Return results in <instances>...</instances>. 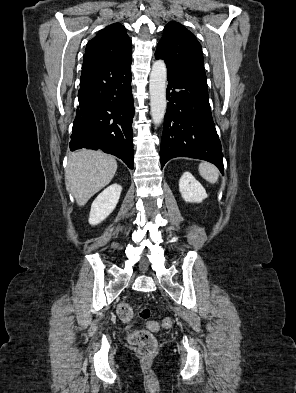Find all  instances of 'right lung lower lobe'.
I'll return each instance as SVG.
<instances>
[{
    "mask_svg": "<svg viewBox=\"0 0 296 393\" xmlns=\"http://www.w3.org/2000/svg\"><path fill=\"white\" fill-rule=\"evenodd\" d=\"M131 61H85L70 150L101 149L133 169Z\"/></svg>",
    "mask_w": 296,
    "mask_h": 393,
    "instance_id": "right-lung-lower-lobe-1",
    "label": "right lung lower lobe"
}]
</instances>
